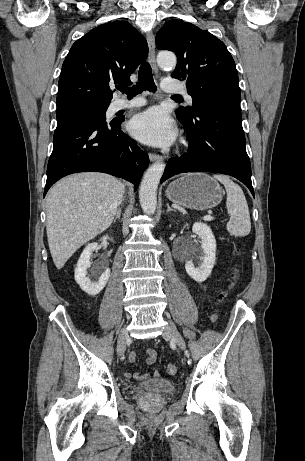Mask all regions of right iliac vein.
<instances>
[{"instance_id":"right-iliac-vein-1","label":"right iliac vein","mask_w":305,"mask_h":461,"mask_svg":"<svg viewBox=\"0 0 305 461\" xmlns=\"http://www.w3.org/2000/svg\"><path fill=\"white\" fill-rule=\"evenodd\" d=\"M129 339V334L127 328H122L119 332L118 336V347L117 351L119 356H124L125 350H126V344Z\"/></svg>"}]
</instances>
